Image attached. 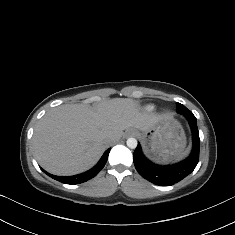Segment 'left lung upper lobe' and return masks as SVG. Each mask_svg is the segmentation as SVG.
Segmentation results:
<instances>
[{
  "label": "left lung upper lobe",
  "mask_w": 235,
  "mask_h": 235,
  "mask_svg": "<svg viewBox=\"0 0 235 235\" xmlns=\"http://www.w3.org/2000/svg\"><path fill=\"white\" fill-rule=\"evenodd\" d=\"M176 110L178 113L183 115L193 114L190 110H188L184 105L180 103H176Z\"/></svg>",
  "instance_id": "5c2ea615"
}]
</instances>
